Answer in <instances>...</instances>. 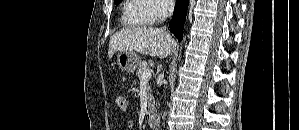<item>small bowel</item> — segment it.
Returning a JSON list of instances; mask_svg holds the SVG:
<instances>
[{
	"label": "small bowel",
	"instance_id": "1",
	"mask_svg": "<svg viewBox=\"0 0 299 130\" xmlns=\"http://www.w3.org/2000/svg\"><path fill=\"white\" fill-rule=\"evenodd\" d=\"M127 130H131L134 128V122L132 120L127 121L126 123Z\"/></svg>",
	"mask_w": 299,
	"mask_h": 130
}]
</instances>
